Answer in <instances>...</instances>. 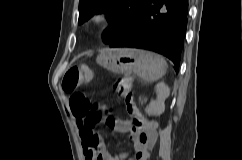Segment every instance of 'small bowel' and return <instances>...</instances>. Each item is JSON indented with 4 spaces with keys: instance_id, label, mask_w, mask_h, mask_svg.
<instances>
[{
    "instance_id": "obj_1",
    "label": "small bowel",
    "mask_w": 242,
    "mask_h": 160,
    "mask_svg": "<svg viewBox=\"0 0 242 160\" xmlns=\"http://www.w3.org/2000/svg\"><path fill=\"white\" fill-rule=\"evenodd\" d=\"M76 123L80 131L85 160H148L150 150L157 138L155 123L145 119L141 114H137L132 120L110 117L106 120L107 126L115 132L128 133L134 143L135 150L133 157L127 153L112 157L107 152L105 143L97 134V140L88 144L83 135L87 129L80 124L77 117Z\"/></svg>"
}]
</instances>
